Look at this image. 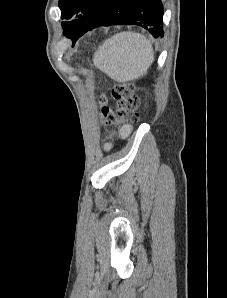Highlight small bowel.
<instances>
[{"label": "small bowel", "mask_w": 227, "mask_h": 298, "mask_svg": "<svg viewBox=\"0 0 227 298\" xmlns=\"http://www.w3.org/2000/svg\"><path fill=\"white\" fill-rule=\"evenodd\" d=\"M130 131H131V127L129 125H123L119 130V135L122 138H124L130 133ZM114 133L115 132L113 130L109 131L108 138H111L114 135ZM110 147H111V144L109 142H107L105 144V149L108 150V149H110Z\"/></svg>", "instance_id": "c3829d8e"}]
</instances>
